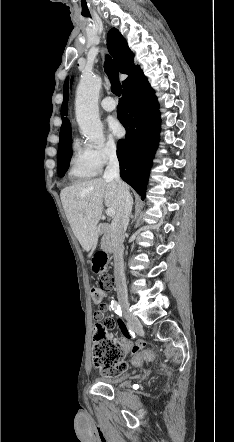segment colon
Returning <instances> with one entry per match:
<instances>
[{
    "mask_svg": "<svg viewBox=\"0 0 234 442\" xmlns=\"http://www.w3.org/2000/svg\"><path fill=\"white\" fill-rule=\"evenodd\" d=\"M107 256L99 253L94 258V270L99 276V286L91 290V297L94 303L103 306L104 299L115 288L113 276L107 271ZM109 331L99 333L94 330L93 335V364L106 377H114L127 370V363L124 361V351L119 340L109 336ZM156 349L143 347L126 352L131 364L141 366L144 362H150L155 358Z\"/></svg>",
    "mask_w": 234,
    "mask_h": 442,
    "instance_id": "obj_1",
    "label": "colon"
}]
</instances>
